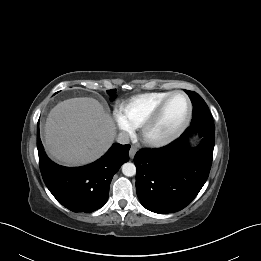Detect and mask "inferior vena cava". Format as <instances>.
<instances>
[{
	"label": "inferior vena cava",
	"mask_w": 261,
	"mask_h": 261,
	"mask_svg": "<svg viewBox=\"0 0 261 261\" xmlns=\"http://www.w3.org/2000/svg\"><path fill=\"white\" fill-rule=\"evenodd\" d=\"M116 141L120 144H128L130 142L129 134L126 132H121L118 134Z\"/></svg>",
	"instance_id": "1"
}]
</instances>
